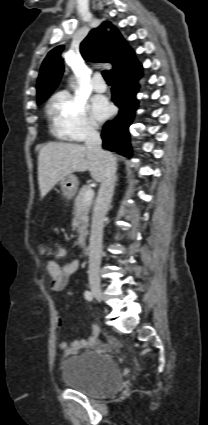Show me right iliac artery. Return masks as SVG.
<instances>
[{"instance_id": "1", "label": "right iliac artery", "mask_w": 208, "mask_h": 425, "mask_svg": "<svg viewBox=\"0 0 208 425\" xmlns=\"http://www.w3.org/2000/svg\"><path fill=\"white\" fill-rule=\"evenodd\" d=\"M84 296H85V299L87 301H92L93 300V294L90 291H85Z\"/></svg>"}]
</instances>
